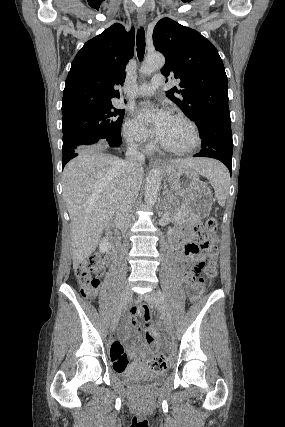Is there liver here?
Returning a JSON list of instances; mask_svg holds the SVG:
<instances>
[{"instance_id": "1", "label": "liver", "mask_w": 285, "mask_h": 427, "mask_svg": "<svg viewBox=\"0 0 285 427\" xmlns=\"http://www.w3.org/2000/svg\"><path fill=\"white\" fill-rule=\"evenodd\" d=\"M125 161L102 152H84L63 171V198L71 221L73 268L94 252L104 228L117 210L124 187ZM217 162L205 158H187L171 164L192 167L205 176ZM144 171L136 175L140 186Z\"/></svg>"}]
</instances>
